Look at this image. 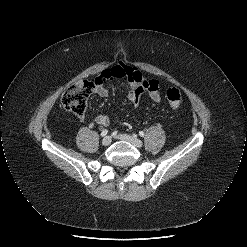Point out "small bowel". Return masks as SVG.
<instances>
[{
    "instance_id": "c3829d8e",
    "label": "small bowel",
    "mask_w": 247,
    "mask_h": 247,
    "mask_svg": "<svg viewBox=\"0 0 247 247\" xmlns=\"http://www.w3.org/2000/svg\"><path fill=\"white\" fill-rule=\"evenodd\" d=\"M114 80H126L129 85L127 92L128 100L137 107L140 103L141 96L147 92L151 99L155 102L161 101V89L158 81L145 78L142 73L135 67L124 64L116 65L110 69H105L96 78V93L101 97H107L110 94L105 83ZM81 122H85L84 116H79ZM110 123V117L107 114H98L94 116L90 124L106 126Z\"/></svg>"
}]
</instances>
